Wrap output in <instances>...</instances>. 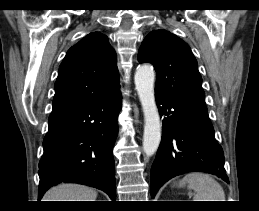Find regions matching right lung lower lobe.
Returning <instances> with one entry per match:
<instances>
[{"label":"right lung lower lobe","mask_w":259,"mask_h":211,"mask_svg":"<svg viewBox=\"0 0 259 211\" xmlns=\"http://www.w3.org/2000/svg\"><path fill=\"white\" fill-rule=\"evenodd\" d=\"M120 91L94 101L50 114L39 162L38 198L61 182L80 183L116 198L112 148L117 137Z\"/></svg>","instance_id":"obj_1"}]
</instances>
